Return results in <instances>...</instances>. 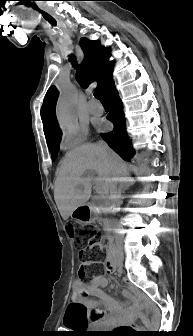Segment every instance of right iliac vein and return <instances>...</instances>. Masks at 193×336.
<instances>
[{
  "instance_id": "63e3f726",
  "label": "right iliac vein",
  "mask_w": 193,
  "mask_h": 336,
  "mask_svg": "<svg viewBox=\"0 0 193 336\" xmlns=\"http://www.w3.org/2000/svg\"><path fill=\"white\" fill-rule=\"evenodd\" d=\"M121 260L123 261V260H124V257H121Z\"/></svg>"
}]
</instances>
